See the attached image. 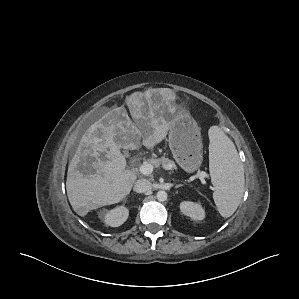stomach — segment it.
Wrapping results in <instances>:
<instances>
[{"mask_svg": "<svg viewBox=\"0 0 299 299\" xmlns=\"http://www.w3.org/2000/svg\"><path fill=\"white\" fill-rule=\"evenodd\" d=\"M168 142L177 164L186 172L196 171L203 160L201 130L184 108L172 113L169 122Z\"/></svg>", "mask_w": 299, "mask_h": 299, "instance_id": "obj_1", "label": "stomach"}]
</instances>
